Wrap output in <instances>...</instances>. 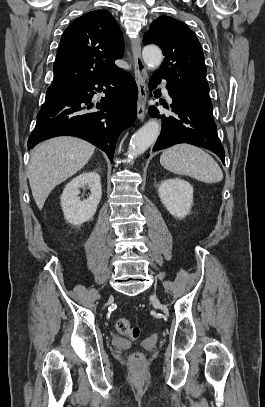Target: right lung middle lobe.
I'll use <instances>...</instances> for the list:
<instances>
[{
    "mask_svg": "<svg viewBox=\"0 0 265 407\" xmlns=\"http://www.w3.org/2000/svg\"><path fill=\"white\" fill-rule=\"evenodd\" d=\"M76 86L72 85H54L47 89L46 101L64 96L70 93Z\"/></svg>",
    "mask_w": 265,
    "mask_h": 407,
    "instance_id": "obj_1",
    "label": "right lung middle lobe"
}]
</instances>
